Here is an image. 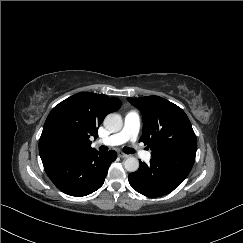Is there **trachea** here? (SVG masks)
Instances as JSON below:
<instances>
[{
	"label": "trachea",
	"instance_id": "1",
	"mask_svg": "<svg viewBox=\"0 0 243 243\" xmlns=\"http://www.w3.org/2000/svg\"><path fill=\"white\" fill-rule=\"evenodd\" d=\"M100 150H101V151H107L108 149H107L106 146H101V147H100ZM123 151H124L126 154H132V153L135 152L134 149H132V148H130V147H124V148H123Z\"/></svg>",
	"mask_w": 243,
	"mask_h": 243
}]
</instances>
